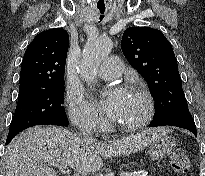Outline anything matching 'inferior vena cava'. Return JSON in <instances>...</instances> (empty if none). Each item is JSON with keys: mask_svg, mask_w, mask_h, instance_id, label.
Masks as SVG:
<instances>
[{"mask_svg": "<svg viewBox=\"0 0 205 176\" xmlns=\"http://www.w3.org/2000/svg\"><path fill=\"white\" fill-rule=\"evenodd\" d=\"M79 130L81 133V138L87 142H93L94 141V136H93V131L91 127L89 126H79Z\"/></svg>", "mask_w": 205, "mask_h": 176, "instance_id": "inferior-vena-cava-1", "label": "inferior vena cava"}]
</instances>
